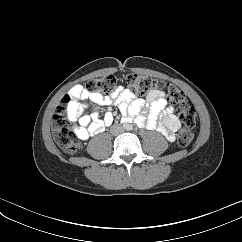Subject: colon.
I'll return each mask as SVG.
<instances>
[{
	"instance_id": "5ec220e1",
	"label": "colon",
	"mask_w": 242,
	"mask_h": 242,
	"mask_svg": "<svg viewBox=\"0 0 242 242\" xmlns=\"http://www.w3.org/2000/svg\"><path fill=\"white\" fill-rule=\"evenodd\" d=\"M127 83L132 92L138 95H146L154 90H165L169 102L174 105L183 123V128L178 133V145L187 147L193 139V128L196 124V111L188 103L182 90L174 85L166 84L162 80H157L139 74H130ZM117 78L114 75H104L89 80L84 89L88 92H95L100 95H108L116 89ZM71 100V96L66 94L61 99V104L57 107L53 116L52 128L53 137L58 146L67 154H74L80 147V142L75 133V121L70 120L64 109V104Z\"/></svg>"
}]
</instances>
